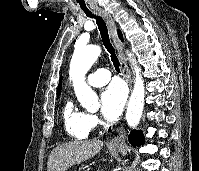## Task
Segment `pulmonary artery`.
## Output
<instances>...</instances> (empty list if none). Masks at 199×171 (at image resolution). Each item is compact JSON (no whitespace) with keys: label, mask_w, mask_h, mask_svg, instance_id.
<instances>
[{"label":"pulmonary artery","mask_w":199,"mask_h":171,"mask_svg":"<svg viewBox=\"0 0 199 171\" xmlns=\"http://www.w3.org/2000/svg\"><path fill=\"white\" fill-rule=\"evenodd\" d=\"M110 80V72L106 69H98L87 77V81L91 86L99 87L106 84Z\"/></svg>","instance_id":"pulmonary-artery-1"}]
</instances>
